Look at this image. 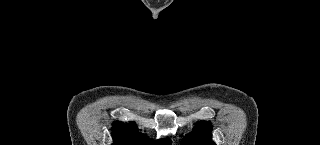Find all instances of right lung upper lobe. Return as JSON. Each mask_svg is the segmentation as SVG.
<instances>
[{
	"mask_svg": "<svg viewBox=\"0 0 320 145\" xmlns=\"http://www.w3.org/2000/svg\"><path fill=\"white\" fill-rule=\"evenodd\" d=\"M128 128H133V130L137 131L134 123H130V126L120 122L113 125L114 145H162L167 142L170 143L168 138L151 142L145 135L130 132Z\"/></svg>",
	"mask_w": 320,
	"mask_h": 145,
	"instance_id": "1",
	"label": "right lung upper lobe"
}]
</instances>
